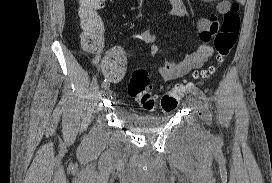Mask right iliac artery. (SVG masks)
I'll use <instances>...</instances> for the list:
<instances>
[{
    "label": "right iliac artery",
    "instance_id": "obj_1",
    "mask_svg": "<svg viewBox=\"0 0 272 183\" xmlns=\"http://www.w3.org/2000/svg\"><path fill=\"white\" fill-rule=\"evenodd\" d=\"M110 84H109V80H107V79H105L103 82H102V84H101V86H102V88H105V87H107V86H109Z\"/></svg>",
    "mask_w": 272,
    "mask_h": 183
}]
</instances>
